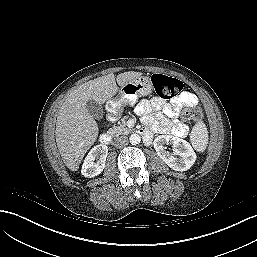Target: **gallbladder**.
<instances>
[{
  "mask_svg": "<svg viewBox=\"0 0 257 257\" xmlns=\"http://www.w3.org/2000/svg\"><path fill=\"white\" fill-rule=\"evenodd\" d=\"M86 109L88 113L95 119H101L103 117V109L101 105L94 100L87 101Z\"/></svg>",
  "mask_w": 257,
  "mask_h": 257,
  "instance_id": "gallbladder-1",
  "label": "gallbladder"
}]
</instances>
